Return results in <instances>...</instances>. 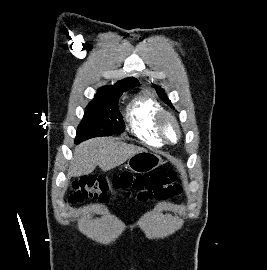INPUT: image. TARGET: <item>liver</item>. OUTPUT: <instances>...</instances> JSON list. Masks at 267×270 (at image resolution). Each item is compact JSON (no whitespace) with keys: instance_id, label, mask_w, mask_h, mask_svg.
<instances>
[{"instance_id":"1","label":"liver","mask_w":267,"mask_h":270,"mask_svg":"<svg viewBox=\"0 0 267 270\" xmlns=\"http://www.w3.org/2000/svg\"><path fill=\"white\" fill-rule=\"evenodd\" d=\"M142 151H145L142 147L119 142L111 137L88 140L75 148L68 176L88 175L96 166L105 172L109 171Z\"/></svg>"}]
</instances>
